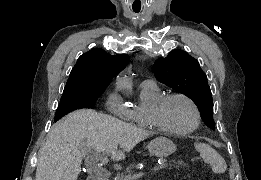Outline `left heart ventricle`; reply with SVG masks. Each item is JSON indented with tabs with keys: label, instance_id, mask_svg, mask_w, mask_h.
<instances>
[{
	"label": "left heart ventricle",
	"instance_id": "1",
	"mask_svg": "<svg viewBox=\"0 0 261 180\" xmlns=\"http://www.w3.org/2000/svg\"><path fill=\"white\" fill-rule=\"evenodd\" d=\"M155 117L164 128L172 132L188 129L194 121V112L189 104L180 99H174L161 107Z\"/></svg>",
	"mask_w": 261,
	"mask_h": 180
}]
</instances>
